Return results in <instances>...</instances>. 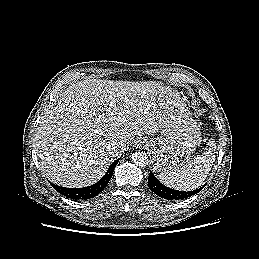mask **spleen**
I'll return each mask as SVG.
<instances>
[{"mask_svg": "<svg viewBox=\"0 0 259 259\" xmlns=\"http://www.w3.org/2000/svg\"><path fill=\"white\" fill-rule=\"evenodd\" d=\"M216 143L210 139L205 152L189 164L170 172H161L159 179L166 186L180 190L191 191L200 187L209 174L215 161Z\"/></svg>", "mask_w": 259, "mask_h": 259, "instance_id": "1", "label": "spleen"}]
</instances>
